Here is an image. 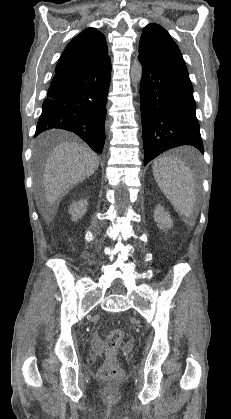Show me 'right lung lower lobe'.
<instances>
[{
    "label": "right lung lower lobe",
    "mask_w": 231,
    "mask_h": 419,
    "mask_svg": "<svg viewBox=\"0 0 231 419\" xmlns=\"http://www.w3.org/2000/svg\"><path fill=\"white\" fill-rule=\"evenodd\" d=\"M110 78L111 61L92 68L56 71L34 137L52 128L66 129L101 153Z\"/></svg>",
    "instance_id": "right-lung-lower-lobe-1"
}]
</instances>
